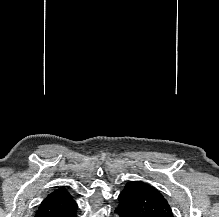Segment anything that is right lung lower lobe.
Wrapping results in <instances>:
<instances>
[{"mask_svg": "<svg viewBox=\"0 0 219 217\" xmlns=\"http://www.w3.org/2000/svg\"><path fill=\"white\" fill-rule=\"evenodd\" d=\"M63 217H76V209L67 213L66 215H64Z\"/></svg>", "mask_w": 219, "mask_h": 217, "instance_id": "98d812e1", "label": "right lung lower lobe"}]
</instances>
